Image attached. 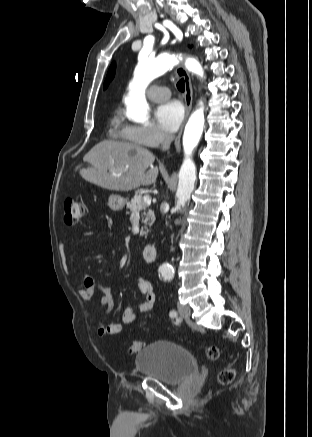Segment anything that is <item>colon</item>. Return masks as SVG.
<instances>
[{
	"label": "colon",
	"instance_id": "obj_1",
	"mask_svg": "<svg viewBox=\"0 0 312 437\" xmlns=\"http://www.w3.org/2000/svg\"><path fill=\"white\" fill-rule=\"evenodd\" d=\"M84 214V204L81 201L67 198L64 201V221L68 225L76 224ZM140 341H133L129 347V353L136 354L141 350ZM206 355L210 360H216L219 357V349L211 345L206 350ZM235 377L233 368H224L218 374V382L221 385L230 384Z\"/></svg>",
	"mask_w": 312,
	"mask_h": 437
}]
</instances>
